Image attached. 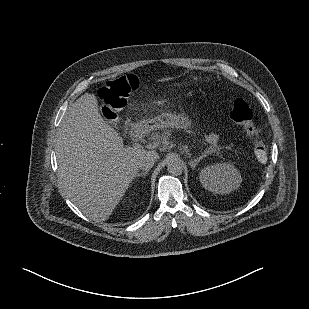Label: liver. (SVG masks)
<instances>
[{
  "instance_id": "6515ba94",
  "label": "liver",
  "mask_w": 309,
  "mask_h": 309,
  "mask_svg": "<svg viewBox=\"0 0 309 309\" xmlns=\"http://www.w3.org/2000/svg\"><path fill=\"white\" fill-rule=\"evenodd\" d=\"M56 155L67 196L96 221L110 217L138 175L141 161L158 158L155 151L124 148L123 139L104 121L91 93L79 97L65 113Z\"/></svg>"
}]
</instances>
